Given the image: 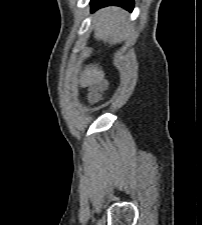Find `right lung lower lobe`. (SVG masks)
<instances>
[{"label": "right lung lower lobe", "mask_w": 202, "mask_h": 225, "mask_svg": "<svg viewBox=\"0 0 202 225\" xmlns=\"http://www.w3.org/2000/svg\"><path fill=\"white\" fill-rule=\"evenodd\" d=\"M116 5L123 7L129 11L133 10L134 1L133 0H91V10L95 11L101 7Z\"/></svg>", "instance_id": "right-lung-lower-lobe-1"}]
</instances>
